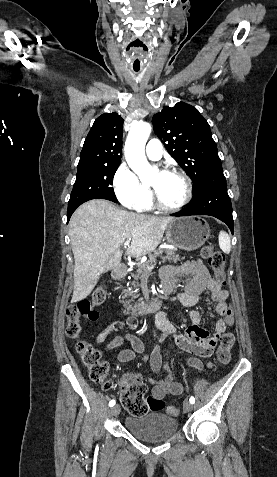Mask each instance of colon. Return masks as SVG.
I'll return each mask as SVG.
<instances>
[{
	"label": "colon",
	"mask_w": 277,
	"mask_h": 477,
	"mask_svg": "<svg viewBox=\"0 0 277 477\" xmlns=\"http://www.w3.org/2000/svg\"><path fill=\"white\" fill-rule=\"evenodd\" d=\"M201 256L208 261V264L214 271L215 278L221 284H225V255L212 245H207L201 249ZM105 299L106 290L100 286L94 290L90 298L81 300L69 308L67 312V335L76 340V351L83 365L87 367L90 378L104 389H109L112 382L108 378V364L101 358L100 352L82 338V328L80 325L81 320L94 321L97 319V308L103 304ZM223 320L227 326H232L235 323V312L231 302H228L226 305ZM234 343V335L230 332L224 333L220 337L217 358L221 363L226 364L229 362ZM145 391L146 387L143 383L124 382L121 385L120 401L128 412L134 416L144 415L149 411H160L165 406L162 399L152 396L145 398ZM167 413L171 416H177L179 410L176 407H169Z\"/></svg>",
	"instance_id": "colon-1"
}]
</instances>
